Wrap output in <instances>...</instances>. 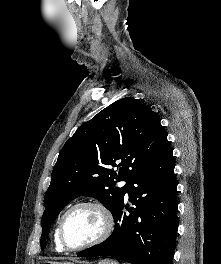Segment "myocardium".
Segmentation results:
<instances>
[{
    "label": "myocardium",
    "mask_w": 221,
    "mask_h": 264,
    "mask_svg": "<svg viewBox=\"0 0 221 264\" xmlns=\"http://www.w3.org/2000/svg\"><path fill=\"white\" fill-rule=\"evenodd\" d=\"M81 207H89L92 209H95L102 217L103 219V230L101 234L91 242H88L86 244L80 245V246H70L65 238H64V223L67 218V216L74 211L77 208ZM114 217L111 212V210L101 201L98 200H83L79 201L72 206H70L62 215V217L59 220L58 227H57V233H58V238L60 241V244L62 247L68 251H81L84 249L91 248L93 246H96L102 242H104L113 232L114 229Z\"/></svg>",
    "instance_id": "obj_1"
}]
</instances>
